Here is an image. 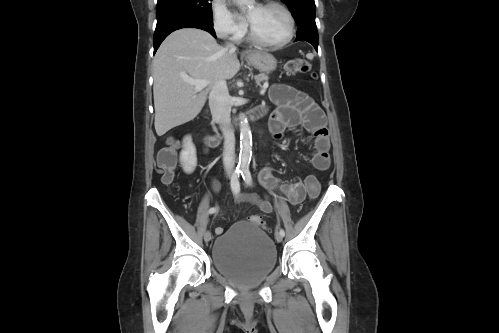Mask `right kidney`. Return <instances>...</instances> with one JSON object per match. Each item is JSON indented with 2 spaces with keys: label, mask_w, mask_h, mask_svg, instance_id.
Masks as SVG:
<instances>
[{
  "label": "right kidney",
  "mask_w": 499,
  "mask_h": 333,
  "mask_svg": "<svg viewBox=\"0 0 499 333\" xmlns=\"http://www.w3.org/2000/svg\"><path fill=\"white\" fill-rule=\"evenodd\" d=\"M180 163L184 172L192 173L197 165L196 148L191 136H186L183 140V149L180 153Z\"/></svg>",
  "instance_id": "obj_1"
}]
</instances>
